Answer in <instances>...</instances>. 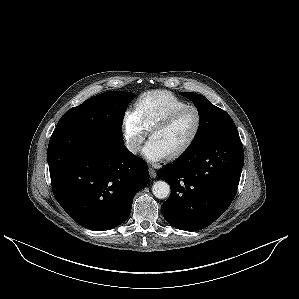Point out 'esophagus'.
Segmentation results:
<instances>
[{
  "mask_svg": "<svg viewBox=\"0 0 299 299\" xmlns=\"http://www.w3.org/2000/svg\"><path fill=\"white\" fill-rule=\"evenodd\" d=\"M148 171H149V175H150L151 178L156 177L157 174H156V171L154 170V168L149 167Z\"/></svg>",
  "mask_w": 299,
  "mask_h": 299,
  "instance_id": "1",
  "label": "esophagus"
}]
</instances>
